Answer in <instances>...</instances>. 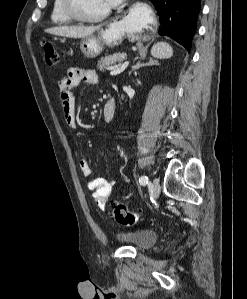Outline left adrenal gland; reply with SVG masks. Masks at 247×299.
<instances>
[{
    "label": "left adrenal gland",
    "mask_w": 247,
    "mask_h": 299,
    "mask_svg": "<svg viewBox=\"0 0 247 299\" xmlns=\"http://www.w3.org/2000/svg\"><path fill=\"white\" fill-rule=\"evenodd\" d=\"M153 65H159L158 61L150 59L147 63H141V61H138L135 65L132 66L131 70L129 71V75L132 71H135L141 67L144 66H153Z\"/></svg>",
    "instance_id": "obj_1"
}]
</instances>
